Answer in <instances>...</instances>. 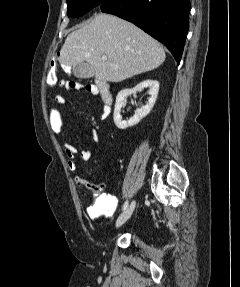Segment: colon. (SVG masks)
<instances>
[{
  "label": "colon",
  "mask_w": 240,
  "mask_h": 287,
  "mask_svg": "<svg viewBox=\"0 0 240 287\" xmlns=\"http://www.w3.org/2000/svg\"><path fill=\"white\" fill-rule=\"evenodd\" d=\"M46 82L49 86H59L60 88L65 89H80V88H87V86H82L81 84L69 81V80H58L57 77V68H56V59H52L50 62L49 71L47 74ZM63 97L62 95H53L51 98V106L48 110V118L49 123L52 128V130L56 133H60L65 126V117L64 113L61 110V106L65 103L64 101H59V97ZM78 185L82 187L84 183L79 180ZM94 189H97V186L93 187Z\"/></svg>",
  "instance_id": "colon-1"
}]
</instances>
